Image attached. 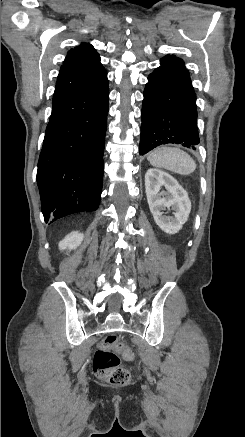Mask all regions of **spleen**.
I'll return each instance as SVG.
<instances>
[{"instance_id": "3e777b00", "label": "spleen", "mask_w": 245, "mask_h": 437, "mask_svg": "<svg viewBox=\"0 0 245 437\" xmlns=\"http://www.w3.org/2000/svg\"><path fill=\"white\" fill-rule=\"evenodd\" d=\"M147 159L154 167L182 175L191 174L197 167L193 158L179 148L158 147L148 155Z\"/></svg>"}]
</instances>
